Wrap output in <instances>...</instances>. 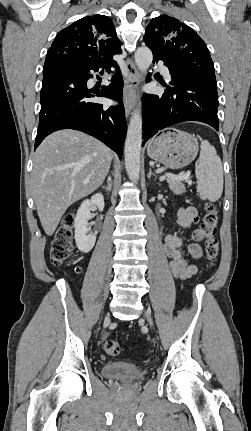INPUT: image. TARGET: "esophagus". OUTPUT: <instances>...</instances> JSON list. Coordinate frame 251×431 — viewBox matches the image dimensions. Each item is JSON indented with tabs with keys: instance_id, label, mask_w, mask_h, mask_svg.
<instances>
[{
	"instance_id": "34e87169",
	"label": "esophagus",
	"mask_w": 251,
	"mask_h": 431,
	"mask_svg": "<svg viewBox=\"0 0 251 431\" xmlns=\"http://www.w3.org/2000/svg\"><path fill=\"white\" fill-rule=\"evenodd\" d=\"M127 78L124 88V108L126 118H129L134 107V92L139 84V73L131 58L126 59Z\"/></svg>"
}]
</instances>
